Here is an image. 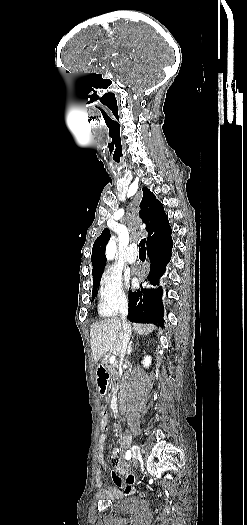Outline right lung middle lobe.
I'll list each match as a JSON object with an SVG mask.
<instances>
[{"instance_id":"right-lung-middle-lobe-1","label":"right lung middle lobe","mask_w":247,"mask_h":525,"mask_svg":"<svg viewBox=\"0 0 247 525\" xmlns=\"http://www.w3.org/2000/svg\"><path fill=\"white\" fill-rule=\"evenodd\" d=\"M94 279H93V298H95L96 294H97V288L99 286V281H100V278H101V275H96V276H93Z\"/></svg>"}]
</instances>
